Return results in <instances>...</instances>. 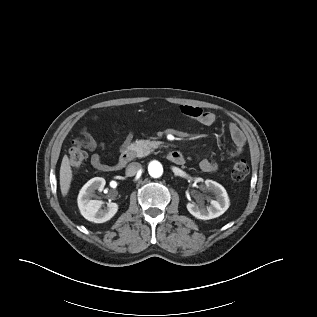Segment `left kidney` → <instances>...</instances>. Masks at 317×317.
Wrapping results in <instances>:
<instances>
[{
  "mask_svg": "<svg viewBox=\"0 0 317 317\" xmlns=\"http://www.w3.org/2000/svg\"><path fill=\"white\" fill-rule=\"evenodd\" d=\"M205 186L215 194L216 200H211V205L207 207L203 203L196 205L194 202H189L187 210L197 219L209 220L219 217L228 209L229 197L225 188L215 181L206 180Z\"/></svg>",
  "mask_w": 317,
  "mask_h": 317,
  "instance_id": "left-kidney-1",
  "label": "left kidney"
}]
</instances>
